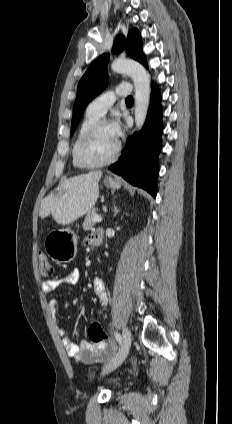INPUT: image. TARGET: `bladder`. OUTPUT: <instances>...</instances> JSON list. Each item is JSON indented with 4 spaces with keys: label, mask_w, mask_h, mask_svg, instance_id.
I'll list each match as a JSON object with an SVG mask.
<instances>
[{
    "label": "bladder",
    "mask_w": 232,
    "mask_h": 424,
    "mask_svg": "<svg viewBox=\"0 0 232 424\" xmlns=\"http://www.w3.org/2000/svg\"><path fill=\"white\" fill-rule=\"evenodd\" d=\"M100 377H101V372L100 371H97L95 369H92L90 371V378H91V380L98 381L100 379ZM106 382L108 384H113V383H115V379H107Z\"/></svg>",
    "instance_id": "bladder-1"
}]
</instances>
